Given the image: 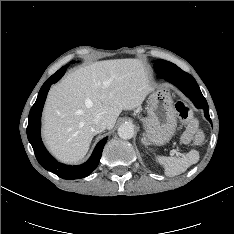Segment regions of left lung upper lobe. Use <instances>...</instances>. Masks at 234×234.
<instances>
[{
    "label": "left lung upper lobe",
    "instance_id": "obj_1",
    "mask_svg": "<svg viewBox=\"0 0 234 234\" xmlns=\"http://www.w3.org/2000/svg\"><path fill=\"white\" fill-rule=\"evenodd\" d=\"M154 63V70L158 74L160 78H163L166 75H174L182 72L179 67H177L175 64L164 61V60H155Z\"/></svg>",
    "mask_w": 234,
    "mask_h": 234
}]
</instances>
